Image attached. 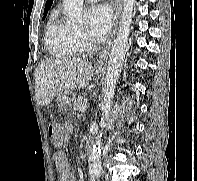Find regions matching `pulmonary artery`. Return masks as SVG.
I'll list each match as a JSON object with an SVG mask.
<instances>
[{
  "label": "pulmonary artery",
  "mask_w": 197,
  "mask_h": 181,
  "mask_svg": "<svg viewBox=\"0 0 197 181\" xmlns=\"http://www.w3.org/2000/svg\"><path fill=\"white\" fill-rule=\"evenodd\" d=\"M87 2H96L98 0H86Z\"/></svg>",
  "instance_id": "pulmonary-artery-1"
}]
</instances>
